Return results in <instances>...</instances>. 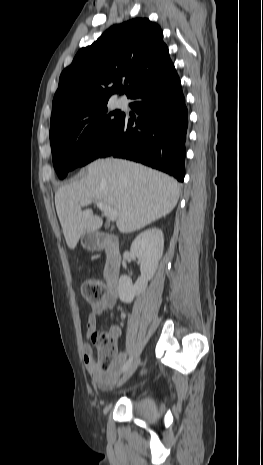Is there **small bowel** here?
I'll list each match as a JSON object with an SVG mask.
<instances>
[{"label":"small bowel","instance_id":"obj_1","mask_svg":"<svg viewBox=\"0 0 263 465\" xmlns=\"http://www.w3.org/2000/svg\"><path fill=\"white\" fill-rule=\"evenodd\" d=\"M116 300L117 295L109 291L101 300L91 304V312L87 319L88 335L92 334L96 330L98 315L106 310L112 309L116 304ZM112 333L115 335V337H118L120 331L119 329L115 328L112 330ZM123 358L124 356L122 355L121 359ZM84 361L92 381L101 389L110 388L114 384L119 373H121L123 367L122 362H120L110 371H101L95 362L93 349L89 343H87L84 347Z\"/></svg>","mask_w":263,"mask_h":465}]
</instances>
